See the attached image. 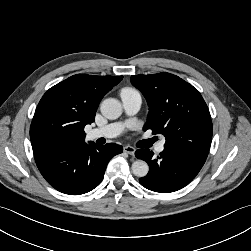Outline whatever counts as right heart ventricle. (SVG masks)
<instances>
[{
  "label": "right heart ventricle",
  "mask_w": 251,
  "mask_h": 251,
  "mask_svg": "<svg viewBox=\"0 0 251 251\" xmlns=\"http://www.w3.org/2000/svg\"><path fill=\"white\" fill-rule=\"evenodd\" d=\"M133 92H137V91H135V90L132 89V88H124V89L122 90V93H133Z\"/></svg>",
  "instance_id": "e07e8e85"
}]
</instances>
